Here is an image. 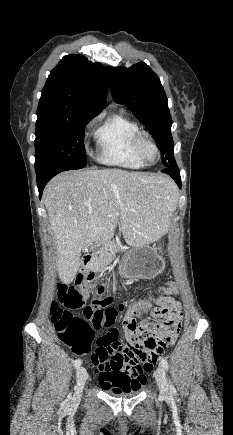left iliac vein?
<instances>
[{
  "label": "left iliac vein",
  "instance_id": "4c4485c4",
  "mask_svg": "<svg viewBox=\"0 0 233 435\" xmlns=\"http://www.w3.org/2000/svg\"><path fill=\"white\" fill-rule=\"evenodd\" d=\"M156 381L162 396H167L169 393V386L165 374V370L162 366H158L156 370Z\"/></svg>",
  "mask_w": 233,
  "mask_h": 435
}]
</instances>
